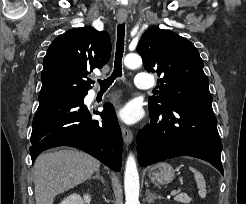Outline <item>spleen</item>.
Wrapping results in <instances>:
<instances>
[{"label":"spleen","mask_w":246,"mask_h":204,"mask_svg":"<svg viewBox=\"0 0 246 204\" xmlns=\"http://www.w3.org/2000/svg\"><path fill=\"white\" fill-rule=\"evenodd\" d=\"M189 169L194 173V178L197 183L199 196L204 198L206 196V183L203 174L193 167H189Z\"/></svg>","instance_id":"1"}]
</instances>
